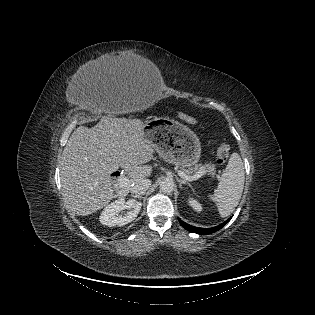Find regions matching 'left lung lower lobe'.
I'll list each match as a JSON object with an SVG mask.
<instances>
[{"instance_id": "0a47b994", "label": "left lung lower lobe", "mask_w": 315, "mask_h": 315, "mask_svg": "<svg viewBox=\"0 0 315 315\" xmlns=\"http://www.w3.org/2000/svg\"><path fill=\"white\" fill-rule=\"evenodd\" d=\"M231 218H229L227 221H225L224 223L218 225V226H215V227H212V228H199V227H194V226H191L185 222H183L182 220L178 219L179 222L182 224V226L187 229L188 231H191L193 233H197V234H200V235H208V234H211V233H214L216 231H218L219 229H221L227 222H229Z\"/></svg>"}]
</instances>
